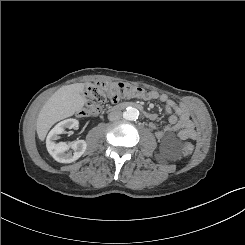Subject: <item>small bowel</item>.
<instances>
[{
    "instance_id": "small-bowel-1",
    "label": "small bowel",
    "mask_w": 245,
    "mask_h": 245,
    "mask_svg": "<svg viewBox=\"0 0 245 245\" xmlns=\"http://www.w3.org/2000/svg\"><path fill=\"white\" fill-rule=\"evenodd\" d=\"M147 100H160L164 106L166 114L169 118V125L164 129H158L155 124L157 116L152 113L150 120L151 129L155 131V136L158 139H162L169 133L176 132L182 140L196 139L197 132L193 121L190 117V112L184 104H176L166 94H160L156 91H149L144 95Z\"/></svg>"
}]
</instances>
